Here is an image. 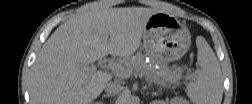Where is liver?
<instances>
[{
  "mask_svg": "<svg viewBox=\"0 0 252 104\" xmlns=\"http://www.w3.org/2000/svg\"><path fill=\"white\" fill-rule=\"evenodd\" d=\"M157 10L94 5L61 24L42 46L30 73V97L38 104H87L111 74L90 65L107 56L129 58L139 48Z\"/></svg>",
  "mask_w": 252,
  "mask_h": 104,
  "instance_id": "6515ba94",
  "label": "liver"
}]
</instances>
